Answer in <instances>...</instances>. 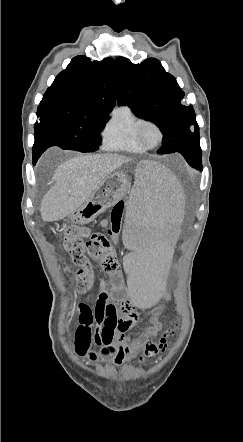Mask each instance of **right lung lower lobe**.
Returning <instances> with one entry per match:
<instances>
[{"instance_id":"1","label":"right lung lower lobe","mask_w":243,"mask_h":442,"mask_svg":"<svg viewBox=\"0 0 243 442\" xmlns=\"http://www.w3.org/2000/svg\"><path fill=\"white\" fill-rule=\"evenodd\" d=\"M43 152H44L43 150H39V151H37V150L33 149V161L36 162L37 159L40 157V155H41Z\"/></svg>"}]
</instances>
